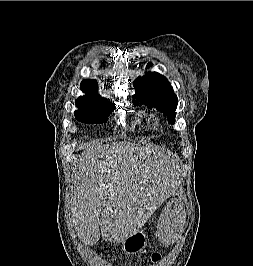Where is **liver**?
Wrapping results in <instances>:
<instances>
[{"label": "liver", "mask_w": 253, "mask_h": 266, "mask_svg": "<svg viewBox=\"0 0 253 266\" xmlns=\"http://www.w3.org/2000/svg\"><path fill=\"white\" fill-rule=\"evenodd\" d=\"M169 159L161 149L127 141L86 148L76 160L73 196L81 241L93 245L102 234L120 244L140 230L156 207L159 178Z\"/></svg>", "instance_id": "6515ba94"}]
</instances>
